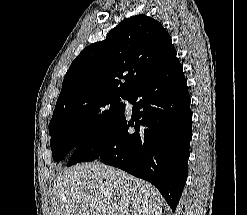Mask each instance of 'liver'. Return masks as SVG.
<instances>
[{
	"instance_id": "liver-1",
	"label": "liver",
	"mask_w": 247,
	"mask_h": 215,
	"mask_svg": "<svg viewBox=\"0 0 247 215\" xmlns=\"http://www.w3.org/2000/svg\"><path fill=\"white\" fill-rule=\"evenodd\" d=\"M52 215H161L160 193L147 182L94 161L57 176Z\"/></svg>"
}]
</instances>
